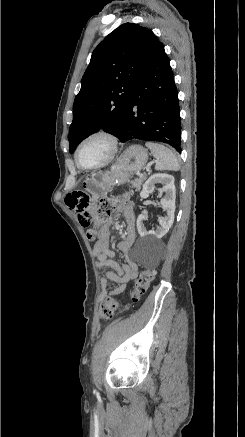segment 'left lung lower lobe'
Returning a JSON list of instances; mask_svg holds the SVG:
<instances>
[{"label":"left lung lower lobe","mask_w":245,"mask_h":437,"mask_svg":"<svg viewBox=\"0 0 245 437\" xmlns=\"http://www.w3.org/2000/svg\"><path fill=\"white\" fill-rule=\"evenodd\" d=\"M180 138L178 91L170 60L160 43L132 88L120 141H158L180 152Z\"/></svg>","instance_id":"obj_1"}]
</instances>
